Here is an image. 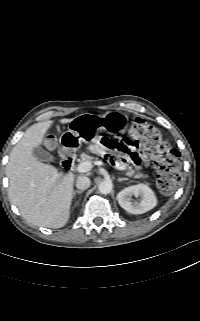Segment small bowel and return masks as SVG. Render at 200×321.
Listing matches in <instances>:
<instances>
[{
  "label": "small bowel",
  "instance_id": "obj_1",
  "mask_svg": "<svg viewBox=\"0 0 200 321\" xmlns=\"http://www.w3.org/2000/svg\"><path fill=\"white\" fill-rule=\"evenodd\" d=\"M100 149L114 151V154H107L108 161L118 167L124 168L129 162L136 167L147 164L148 159L145 153L136 145V140L131 136L117 134L108 136L102 134L99 136Z\"/></svg>",
  "mask_w": 200,
  "mask_h": 321
}]
</instances>
